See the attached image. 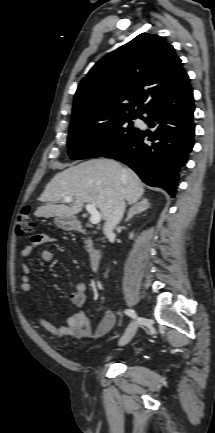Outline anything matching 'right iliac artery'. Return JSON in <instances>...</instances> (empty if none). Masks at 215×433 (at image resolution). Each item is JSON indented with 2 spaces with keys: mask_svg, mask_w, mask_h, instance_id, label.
Returning <instances> with one entry per match:
<instances>
[{
  "mask_svg": "<svg viewBox=\"0 0 215 433\" xmlns=\"http://www.w3.org/2000/svg\"><path fill=\"white\" fill-rule=\"evenodd\" d=\"M124 312H125L126 315H128V316H130L132 318L136 317V313L133 310H131V309H126Z\"/></svg>",
  "mask_w": 215,
  "mask_h": 433,
  "instance_id": "obj_1",
  "label": "right iliac artery"
}]
</instances>
